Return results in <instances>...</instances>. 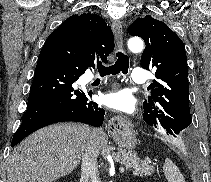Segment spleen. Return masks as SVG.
I'll list each match as a JSON object with an SVG mask.
<instances>
[{
    "mask_svg": "<svg viewBox=\"0 0 211 182\" xmlns=\"http://www.w3.org/2000/svg\"><path fill=\"white\" fill-rule=\"evenodd\" d=\"M163 172L168 182H185L179 168L169 158L164 161Z\"/></svg>",
    "mask_w": 211,
    "mask_h": 182,
    "instance_id": "obj_1",
    "label": "spleen"
}]
</instances>
